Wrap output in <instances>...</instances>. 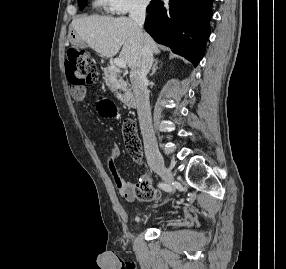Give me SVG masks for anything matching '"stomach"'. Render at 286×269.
<instances>
[{"instance_id":"1","label":"stomach","mask_w":286,"mask_h":269,"mask_svg":"<svg viewBox=\"0 0 286 269\" xmlns=\"http://www.w3.org/2000/svg\"><path fill=\"white\" fill-rule=\"evenodd\" d=\"M69 41L72 44H76V45H81L83 43V40L77 34L70 35L69 36Z\"/></svg>"}]
</instances>
